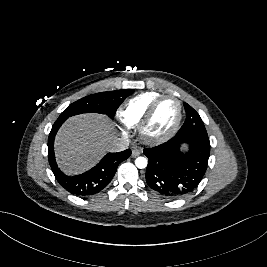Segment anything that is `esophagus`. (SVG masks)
<instances>
[{
	"mask_svg": "<svg viewBox=\"0 0 267 267\" xmlns=\"http://www.w3.org/2000/svg\"><path fill=\"white\" fill-rule=\"evenodd\" d=\"M141 154V151L140 150H138V149H134L133 151H132V157H137V156H139Z\"/></svg>",
	"mask_w": 267,
	"mask_h": 267,
	"instance_id": "34e87169",
	"label": "esophagus"
}]
</instances>
